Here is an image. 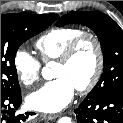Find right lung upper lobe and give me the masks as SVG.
<instances>
[{
  "instance_id": "obj_1",
  "label": "right lung upper lobe",
  "mask_w": 123,
  "mask_h": 123,
  "mask_svg": "<svg viewBox=\"0 0 123 123\" xmlns=\"http://www.w3.org/2000/svg\"><path fill=\"white\" fill-rule=\"evenodd\" d=\"M52 16H53V18H54V21L57 20V19L59 18V16L56 15V14H52Z\"/></svg>"
}]
</instances>
